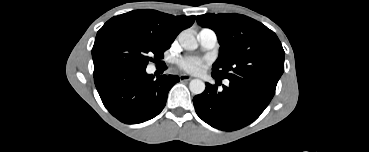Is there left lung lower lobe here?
Segmentation results:
<instances>
[{
  "label": "left lung lower lobe",
  "mask_w": 369,
  "mask_h": 152,
  "mask_svg": "<svg viewBox=\"0 0 369 152\" xmlns=\"http://www.w3.org/2000/svg\"><path fill=\"white\" fill-rule=\"evenodd\" d=\"M229 81V86L223 85L221 92L216 85L207 83L205 91L193 98L197 115L223 131L238 130L255 121L270 103L276 89L269 83Z\"/></svg>",
  "instance_id": "0a47b994"
}]
</instances>
